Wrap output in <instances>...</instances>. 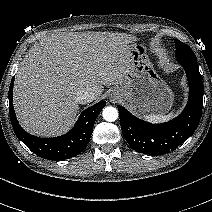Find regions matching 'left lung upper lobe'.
I'll list each match as a JSON object with an SVG mask.
<instances>
[{"label": "left lung upper lobe", "mask_w": 212, "mask_h": 212, "mask_svg": "<svg viewBox=\"0 0 212 212\" xmlns=\"http://www.w3.org/2000/svg\"><path fill=\"white\" fill-rule=\"evenodd\" d=\"M175 45H176V51H175V56L177 58H194L196 59L193 51L191 50V48L182 43L179 40H175Z\"/></svg>", "instance_id": "left-lung-upper-lobe-1"}]
</instances>
